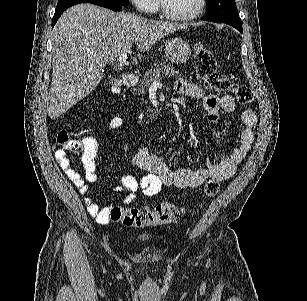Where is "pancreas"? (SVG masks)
<instances>
[{
  "instance_id": "cf45deb5",
  "label": "pancreas",
  "mask_w": 307,
  "mask_h": 301,
  "mask_svg": "<svg viewBox=\"0 0 307 301\" xmlns=\"http://www.w3.org/2000/svg\"><path fill=\"white\" fill-rule=\"evenodd\" d=\"M174 74H179V70H175L174 66H169V62H159V64H155L151 70H147L143 74V78L136 82L135 88L140 94H145L153 80H161L163 76H174Z\"/></svg>"
}]
</instances>
